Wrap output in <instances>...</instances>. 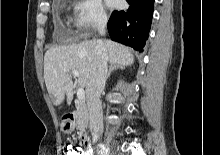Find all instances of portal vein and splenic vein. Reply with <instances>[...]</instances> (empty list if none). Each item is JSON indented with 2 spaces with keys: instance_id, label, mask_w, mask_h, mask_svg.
Here are the masks:
<instances>
[{
  "instance_id": "1",
  "label": "portal vein and splenic vein",
  "mask_w": 220,
  "mask_h": 155,
  "mask_svg": "<svg viewBox=\"0 0 220 155\" xmlns=\"http://www.w3.org/2000/svg\"><path fill=\"white\" fill-rule=\"evenodd\" d=\"M72 75H73L74 77H78V76H79V73H78L77 70H73V71H72ZM77 98H78L79 100H83V99L85 98V91H84V89H83L82 87H79L78 90H77Z\"/></svg>"
}]
</instances>
